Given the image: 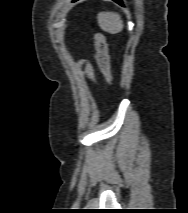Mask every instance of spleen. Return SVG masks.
<instances>
[{"label": "spleen", "mask_w": 188, "mask_h": 213, "mask_svg": "<svg viewBox=\"0 0 188 213\" xmlns=\"http://www.w3.org/2000/svg\"><path fill=\"white\" fill-rule=\"evenodd\" d=\"M98 23L102 30L111 34H116L123 30V21L120 15L114 12L99 13Z\"/></svg>", "instance_id": "spleen-1"}]
</instances>
